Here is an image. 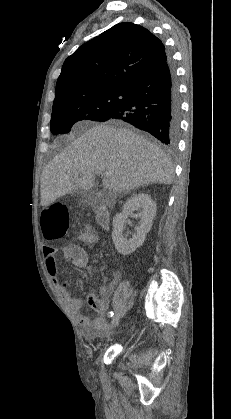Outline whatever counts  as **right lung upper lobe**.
<instances>
[{"label":"right lung upper lobe","instance_id":"obj_1","mask_svg":"<svg viewBox=\"0 0 231 419\" xmlns=\"http://www.w3.org/2000/svg\"><path fill=\"white\" fill-rule=\"evenodd\" d=\"M166 60L163 43L150 31L119 23L65 60L53 103L105 88L127 89Z\"/></svg>","mask_w":231,"mask_h":419}]
</instances>
